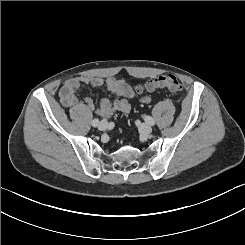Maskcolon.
<instances>
[{
	"instance_id": "5ec220e1",
	"label": "colon",
	"mask_w": 245,
	"mask_h": 245,
	"mask_svg": "<svg viewBox=\"0 0 245 245\" xmlns=\"http://www.w3.org/2000/svg\"><path fill=\"white\" fill-rule=\"evenodd\" d=\"M134 91L140 93L142 91H154L156 89H167L172 92H177L181 89V84L178 78L172 74H160L148 80L144 85H136Z\"/></svg>"
}]
</instances>
